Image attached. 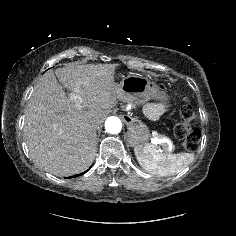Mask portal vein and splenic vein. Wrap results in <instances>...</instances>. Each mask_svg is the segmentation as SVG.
Masks as SVG:
<instances>
[{
    "mask_svg": "<svg viewBox=\"0 0 236 236\" xmlns=\"http://www.w3.org/2000/svg\"><path fill=\"white\" fill-rule=\"evenodd\" d=\"M70 98L72 100H74V103L76 105L77 108H81V98H79L78 96H76L74 93L70 94ZM152 143L154 144H161L163 142H165L164 139H161L157 136V132H152V139H151Z\"/></svg>",
    "mask_w": 236,
    "mask_h": 236,
    "instance_id": "portal-vein-and-splenic-vein-1",
    "label": "portal vein and splenic vein"
}]
</instances>
